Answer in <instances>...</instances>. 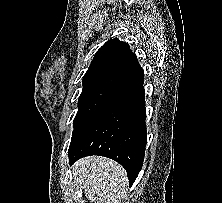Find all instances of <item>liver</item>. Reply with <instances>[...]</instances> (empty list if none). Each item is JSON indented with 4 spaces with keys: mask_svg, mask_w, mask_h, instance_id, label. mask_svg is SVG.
Here are the masks:
<instances>
[{
    "mask_svg": "<svg viewBox=\"0 0 222 203\" xmlns=\"http://www.w3.org/2000/svg\"><path fill=\"white\" fill-rule=\"evenodd\" d=\"M73 177L86 197L95 203H119L128 186L126 170L102 156L80 159L73 166Z\"/></svg>",
    "mask_w": 222,
    "mask_h": 203,
    "instance_id": "6515ba94",
    "label": "liver"
}]
</instances>
